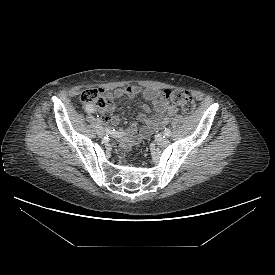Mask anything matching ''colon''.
Segmentation results:
<instances>
[{
    "label": "colon",
    "mask_w": 275,
    "mask_h": 275,
    "mask_svg": "<svg viewBox=\"0 0 275 275\" xmlns=\"http://www.w3.org/2000/svg\"><path fill=\"white\" fill-rule=\"evenodd\" d=\"M161 97L177 106H179L183 112L191 113L195 108V102L193 97L185 90H164L161 92ZM80 99L87 105H94L102 108L105 106V99L97 89H86L81 95Z\"/></svg>",
    "instance_id": "obj_1"
}]
</instances>
